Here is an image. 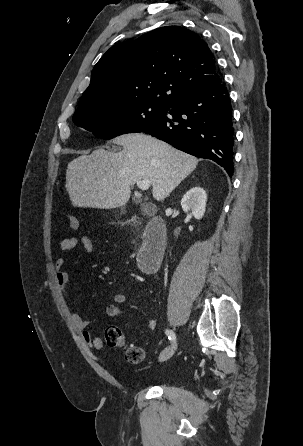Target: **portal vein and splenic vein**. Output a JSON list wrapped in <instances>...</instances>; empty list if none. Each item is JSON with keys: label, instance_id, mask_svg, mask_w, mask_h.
I'll use <instances>...</instances> for the list:
<instances>
[{"label": "portal vein and splenic vein", "instance_id": "obj_1", "mask_svg": "<svg viewBox=\"0 0 303 446\" xmlns=\"http://www.w3.org/2000/svg\"><path fill=\"white\" fill-rule=\"evenodd\" d=\"M137 186L140 190H147L150 187V182L148 180L137 182Z\"/></svg>", "mask_w": 303, "mask_h": 446}]
</instances>
